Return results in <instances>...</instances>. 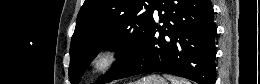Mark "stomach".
Wrapping results in <instances>:
<instances>
[{"label":"stomach","instance_id":"0dacf381","mask_svg":"<svg viewBox=\"0 0 260 84\" xmlns=\"http://www.w3.org/2000/svg\"><path fill=\"white\" fill-rule=\"evenodd\" d=\"M132 84H168V82L160 75H148Z\"/></svg>","mask_w":260,"mask_h":84}]
</instances>
